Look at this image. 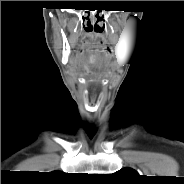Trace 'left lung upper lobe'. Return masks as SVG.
Wrapping results in <instances>:
<instances>
[{"instance_id": "5c2ea615", "label": "left lung upper lobe", "mask_w": 184, "mask_h": 184, "mask_svg": "<svg viewBox=\"0 0 184 184\" xmlns=\"http://www.w3.org/2000/svg\"><path fill=\"white\" fill-rule=\"evenodd\" d=\"M115 174H117L120 179L127 181L135 180L139 176V174L131 168H123Z\"/></svg>"}]
</instances>
